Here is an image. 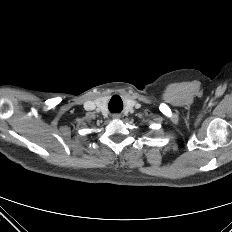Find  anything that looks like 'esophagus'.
<instances>
[{
	"label": "esophagus",
	"instance_id": "1",
	"mask_svg": "<svg viewBox=\"0 0 232 232\" xmlns=\"http://www.w3.org/2000/svg\"><path fill=\"white\" fill-rule=\"evenodd\" d=\"M113 118H114V119H119V118H120V115H119V114H114V115H113Z\"/></svg>",
	"mask_w": 232,
	"mask_h": 232
}]
</instances>
